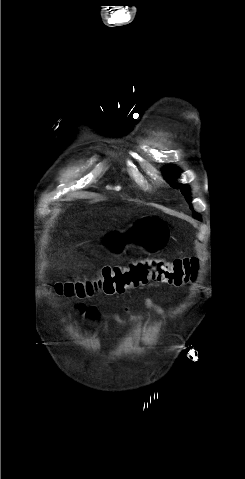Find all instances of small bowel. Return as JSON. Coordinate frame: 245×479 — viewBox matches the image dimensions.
<instances>
[{
	"label": "small bowel",
	"mask_w": 245,
	"mask_h": 479,
	"mask_svg": "<svg viewBox=\"0 0 245 479\" xmlns=\"http://www.w3.org/2000/svg\"><path fill=\"white\" fill-rule=\"evenodd\" d=\"M146 306L158 315H164L166 313V311L163 307L154 303L151 300H148L146 302ZM81 310H84V309H81ZM87 314H88V317L91 320H94L96 322L100 320V314L95 307H88L87 308ZM113 319L122 328H124L127 325V322L124 319H122V317L118 313L113 315ZM138 321H140V317H138L137 315H134V314H130L128 323L134 324Z\"/></svg>",
	"instance_id": "obj_1"
}]
</instances>
